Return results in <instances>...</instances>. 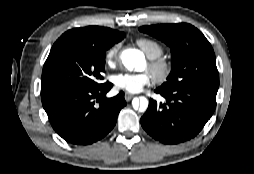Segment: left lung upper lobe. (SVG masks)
Returning a JSON list of instances; mask_svg holds the SVG:
<instances>
[{
    "label": "left lung upper lobe",
    "mask_w": 254,
    "mask_h": 174,
    "mask_svg": "<svg viewBox=\"0 0 254 174\" xmlns=\"http://www.w3.org/2000/svg\"><path fill=\"white\" fill-rule=\"evenodd\" d=\"M165 42L171 49L172 69L159 88L174 91L190 85L216 88L219 76L215 54L205 36L187 23L151 25L139 28Z\"/></svg>",
    "instance_id": "1"
}]
</instances>
